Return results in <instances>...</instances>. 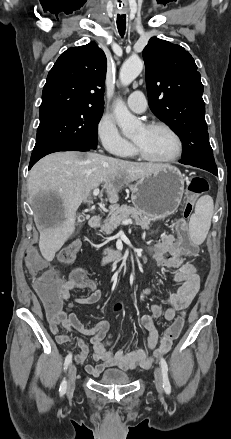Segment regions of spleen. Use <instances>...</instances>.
<instances>
[{
    "label": "spleen",
    "instance_id": "3e777b00",
    "mask_svg": "<svg viewBox=\"0 0 231 439\" xmlns=\"http://www.w3.org/2000/svg\"><path fill=\"white\" fill-rule=\"evenodd\" d=\"M214 204L209 195H204L196 203L195 212L190 218L189 232L195 245L203 243L211 226Z\"/></svg>",
    "mask_w": 231,
    "mask_h": 439
}]
</instances>
